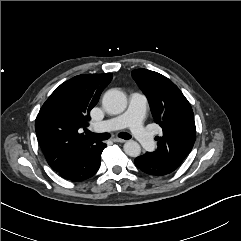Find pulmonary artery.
Here are the masks:
<instances>
[{
  "label": "pulmonary artery",
  "mask_w": 241,
  "mask_h": 241,
  "mask_svg": "<svg viewBox=\"0 0 241 241\" xmlns=\"http://www.w3.org/2000/svg\"><path fill=\"white\" fill-rule=\"evenodd\" d=\"M146 107V96L141 92H134L130 96L128 110L123 115L100 122L95 126V129L110 131L128 127L138 142L145 149L150 150L154 148L155 141L151 133L143 125Z\"/></svg>",
  "instance_id": "obj_1"
}]
</instances>
